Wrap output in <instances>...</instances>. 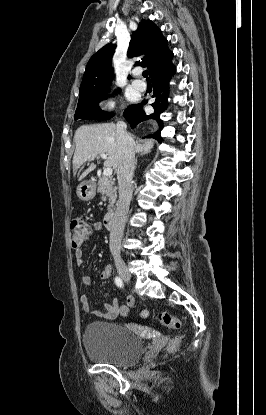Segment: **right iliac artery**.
I'll use <instances>...</instances> for the list:
<instances>
[{
    "label": "right iliac artery",
    "mask_w": 266,
    "mask_h": 415,
    "mask_svg": "<svg viewBox=\"0 0 266 415\" xmlns=\"http://www.w3.org/2000/svg\"><path fill=\"white\" fill-rule=\"evenodd\" d=\"M115 283H116V285L118 286V287H123V281H122V279L120 278V277H115Z\"/></svg>",
    "instance_id": "82829eb1"
}]
</instances>
